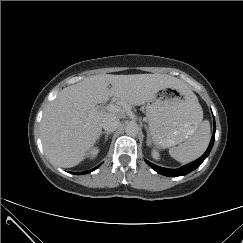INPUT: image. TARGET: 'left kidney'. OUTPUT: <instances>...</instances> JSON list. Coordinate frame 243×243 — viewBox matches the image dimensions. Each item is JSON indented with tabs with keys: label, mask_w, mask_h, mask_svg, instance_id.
Instances as JSON below:
<instances>
[{
	"label": "left kidney",
	"mask_w": 243,
	"mask_h": 243,
	"mask_svg": "<svg viewBox=\"0 0 243 243\" xmlns=\"http://www.w3.org/2000/svg\"><path fill=\"white\" fill-rule=\"evenodd\" d=\"M152 157L155 159V160H159L160 159V155L158 153L157 150L153 149L152 150Z\"/></svg>",
	"instance_id": "left-kidney-1"
}]
</instances>
